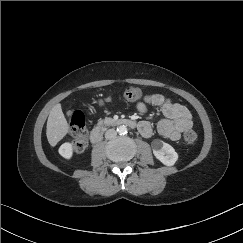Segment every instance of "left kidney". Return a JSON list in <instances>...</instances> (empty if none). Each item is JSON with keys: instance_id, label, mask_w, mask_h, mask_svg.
I'll return each instance as SVG.
<instances>
[{"instance_id": "obj_1", "label": "left kidney", "mask_w": 243, "mask_h": 243, "mask_svg": "<svg viewBox=\"0 0 243 243\" xmlns=\"http://www.w3.org/2000/svg\"><path fill=\"white\" fill-rule=\"evenodd\" d=\"M154 156L166 166H173L178 160V154L175 149L162 140L152 142Z\"/></svg>"}]
</instances>
